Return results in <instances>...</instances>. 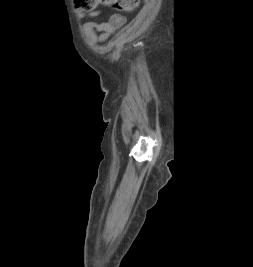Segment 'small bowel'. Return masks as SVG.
Masks as SVG:
<instances>
[{
	"label": "small bowel",
	"instance_id": "small-bowel-1",
	"mask_svg": "<svg viewBox=\"0 0 253 267\" xmlns=\"http://www.w3.org/2000/svg\"><path fill=\"white\" fill-rule=\"evenodd\" d=\"M93 15V14H92ZM125 17L112 14L106 21H89L84 25V31L93 44L103 43L125 24Z\"/></svg>",
	"mask_w": 253,
	"mask_h": 267
}]
</instances>
